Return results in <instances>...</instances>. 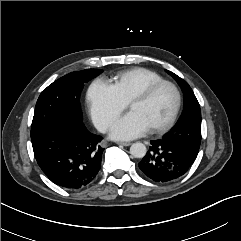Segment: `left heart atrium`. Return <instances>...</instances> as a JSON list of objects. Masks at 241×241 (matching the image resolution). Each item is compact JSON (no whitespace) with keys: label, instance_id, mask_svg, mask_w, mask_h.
Segmentation results:
<instances>
[{"label":"left heart atrium","instance_id":"1","mask_svg":"<svg viewBox=\"0 0 241 241\" xmlns=\"http://www.w3.org/2000/svg\"><path fill=\"white\" fill-rule=\"evenodd\" d=\"M150 130L149 124L135 111L128 112L111 128V137L119 140L133 139Z\"/></svg>","mask_w":241,"mask_h":241}]
</instances>
